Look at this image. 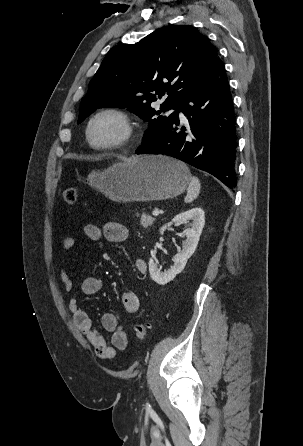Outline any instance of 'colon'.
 I'll return each mask as SVG.
<instances>
[{"instance_id":"1","label":"colon","mask_w":303,"mask_h":446,"mask_svg":"<svg viewBox=\"0 0 303 446\" xmlns=\"http://www.w3.org/2000/svg\"><path fill=\"white\" fill-rule=\"evenodd\" d=\"M77 198H78V192L77 189L74 187H69L63 192L64 201L70 205L75 204ZM133 332L138 340L143 341L147 336L148 327L145 323L138 322L134 324Z\"/></svg>"}]
</instances>
